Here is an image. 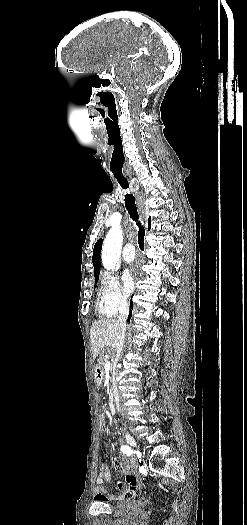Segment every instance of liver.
I'll return each instance as SVG.
<instances>
[{
	"label": "liver",
	"instance_id": "liver-1",
	"mask_svg": "<svg viewBox=\"0 0 247 525\" xmlns=\"http://www.w3.org/2000/svg\"><path fill=\"white\" fill-rule=\"evenodd\" d=\"M92 355L96 359L101 351H117V343L120 341L122 329L116 319H102L91 325Z\"/></svg>",
	"mask_w": 247,
	"mask_h": 525
}]
</instances>
